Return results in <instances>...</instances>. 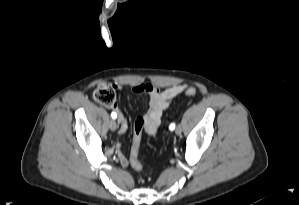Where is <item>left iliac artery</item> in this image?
<instances>
[{
  "label": "left iliac artery",
  "instance_id": "left-iliac-artery-1",
  "mask_svg": "<svg viewBox=\"0 0 299 205\" xmlns=\"http://www.w3.org/2000/svg\"><path fill=\"white\" fill-rule=\"evenodd\" d=\"M169 129L172 131L175 129V123H171L170 126H169Z\"/></svg>",
  "mask_w": 299,
  "mask_h": 205
}]
</instances>
